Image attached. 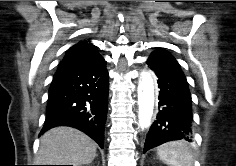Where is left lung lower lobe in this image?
I'll list each match as a JSON object with an SVG mask.
<instances>
[{"label": "left lung lower lobe", "mask_w": 236, "mask_h": 166, "mask_svg": "<svg viewBox=\"0 0 236 166\" xmlns=\"http://www.w3.org/2000/svg\"><path fill=\"white\" fill-rule=\"evenodd\" d=\"M158 80L159 110L147 134L144 153L172 140L192 141L193 112L188 83L170 54L150 56L146 62Z\"/></svg>", "instance_id": "0a47b994"}]
</instances>
